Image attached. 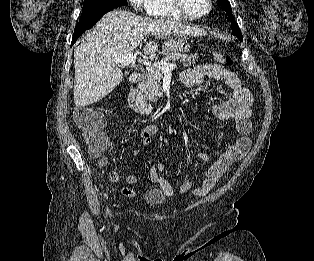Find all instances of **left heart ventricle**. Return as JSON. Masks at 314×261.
I'll return each mask as SVG.
<instances>
[{"mask_svg": "<svg viewBox=\"0 0 314 261\" xmlns=\"http://www.w3.org/2000/svg\"><path fill=\"white\" fill-rule=\"evenodd\" d=\"M188 11L193 14H202L208 8V0H183Z\"/></svg>", "mask_w": 314, "mask_h": 261, "instance_id": "b2bd125f", "label": "left heart ventricle"}]
</instances>
